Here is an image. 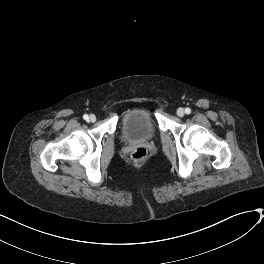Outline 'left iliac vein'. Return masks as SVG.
<instances>
[{
	"label": "left iliac vein",
	"instance_id": "4c4485c4",
	"mask_svg": "<svg viewBox=\"0 0 264 264\" xmlns=\"http://www.w3.org/2000/svg\"><path fill=\"white\" fill-rule=\"evenodd\" d=\"M177 115L183 117L185 115V110L183 108H178Z\"/></svg>",
	"mask_w": 264,
	"mask_h": 264
}]
</instances>
